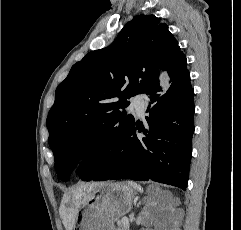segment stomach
Listing matches in <instances>:
<instances>
[{
  "instance_id": "obj_1",
  "label": "stomach",
  "mask_w": 241,
  "mask_h": 230,
  "mask_svg": "<svg viewBox=\"0 0 241 230\" xmlns=\"http://www.w3.org/2000/svg\"><path fill=\"white\" fill-rule=\"evenodd\" d=\"M135 190L126 183L94 185L89 199L77 211L74 230H114V223L132 207Z\"/></svg>"
}]
</instances>
